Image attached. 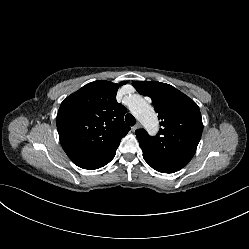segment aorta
I'll list each match as a JSON object with an SVG mask.
<instances>
[{"label": "aorta", "mask_w": 249, "mask_h": 249, "mask_svg": "<svg viewBox=\"0 0 249 249\" xmlns=\"http://www.w3.org/2000/svg\"><path fill=\"white\" fill-rule=\"evenodd\" d=\"M131 113L142 123L145 129L155 134L158 131V118L152 108L141 96L134 95L129 103Z\"/></svg>", "instance_id": "aorta-1"}]
</instances>
